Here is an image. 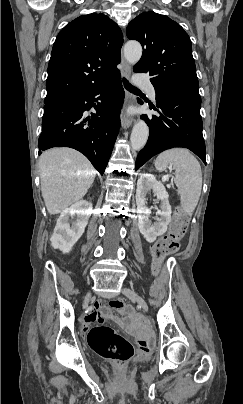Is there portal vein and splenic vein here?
Segmentation results:
<instances>
[{
    "label": "portal vein and splenic vein",
    "instance_id": "obj_1",
    "mask_svg": "<svg viewBox=\"0 0 243 404\" xmlns=\"http://www.w3.org/2000/svg\"><path fill=\"white\" fill-rule=\"evenodd\" d=\"M78 176H80V174H78ZM169 178H171V175H169V174H164V175H163V178H162V180H161V183L164 184V185H167V182L169 181Z\"/></svg>",
    "mask_w": 243,
    "mask_h": 404
}]
</instances>
